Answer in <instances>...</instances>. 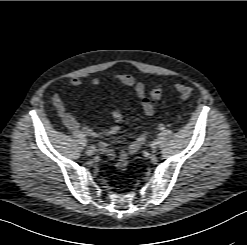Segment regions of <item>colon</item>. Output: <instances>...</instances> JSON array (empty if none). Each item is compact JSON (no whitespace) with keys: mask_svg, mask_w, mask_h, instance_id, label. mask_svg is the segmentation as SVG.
Returning a JSON list of instances; mask_svg holds the SVG:
<instances>
[{"mask_svg":"<svg viewBox=\"0 0 247 245\" xmlns=\"http://www.w3.org/2000/svg\"><path fill=\"white\" fill-rule=\"evenodd\" d=\"M176 92L181 96L182 99H188L194 95V91L191 87L183 85V84H176L174 86ZM162 91L159 88L152 89L150 91V99L151 101H157L161 98ZM128 163H129V157L126 151L121 150V152L118 155V160H117V168L125 172L128 168Z\"/></svg>","mask_w":247,"mask_h":245,"instance_id":"5ec220e1","label":"colon"}]
</instances>
